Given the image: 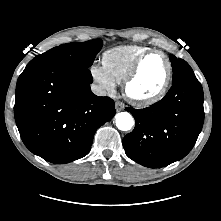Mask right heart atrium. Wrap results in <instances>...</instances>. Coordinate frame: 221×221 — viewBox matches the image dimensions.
Returning <instances> with one entry per match:
<instances>
[{"mask_svg":"<svg viewBox=\"0 0 221 221\" xmlns=\"http://www.w3.org/2000/svg\"><path fill=\"white\" fill-rule=\"evenodd\" d=\"M89 73L101 92L110 96L115 94L116 83L108 75L103 65L92 64L89 68Z\"/></svg>","mask_w":221,"mask_h":221,"instance_id":"right-heart-atrium-1","label":"right heart atrium"}]
</instances>
